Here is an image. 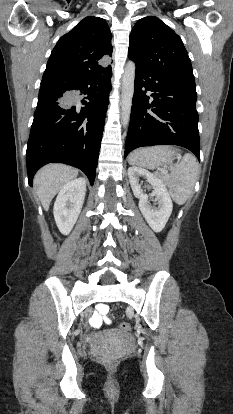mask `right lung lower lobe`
Instances as JSON below:
<instances>
[{
  "label": "right lung lower lobe",
  "mask_w": 233,
  "mask_h": 414,
  "mask_svg": "<svg viewBox=\"0 0 233 414\" xmlns=\"http://www.w3.org/2000/svg\"><path fill=\"white\" fill-rule=\"evenodd\" d=\"M111 69L72 81H41L26 151L29 184L36 171L50 162L81 169L94 183L104 121L111 90ZM84 94L83 106L77 95Z\"/></svg>",
  "instance_id": "obj_1"
}]
</instances>
